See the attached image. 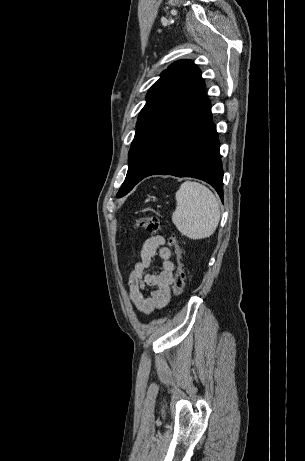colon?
<instances>
[{"instance_id":"colon-1","label":"colon","mask_w":305,"mask_h":461,"mask_svg":"<svg viewBox=\"0 0 305 461\" xmlns=\"http://www.w3.org/2000/svg\"><path fill=\"white\" fill-rule=\"evenodd\" d=\"M134 227L146 229L151 234H157L161 232L162 230L160 220L156 217L137 218L134 222ZM168 243L175 248L177 258L178 260H180L182 251L177 242L176 236L174 234H170L168 236ZM184 288H185V272H184L182 264L179 262L176 273H175L174 282H173V293L176 296H179L183 293Z\"/></svg>"}]
</instances>
